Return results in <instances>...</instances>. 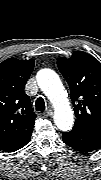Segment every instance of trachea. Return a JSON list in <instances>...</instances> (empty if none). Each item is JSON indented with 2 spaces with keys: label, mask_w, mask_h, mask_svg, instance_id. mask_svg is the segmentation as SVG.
<instances>
[{
  "label": "trachea",
  "mask_w": 101,
  "mask_h": 180,
  "mask_svg": "<svg viewBox=\"0 0 101 180\" xmlns=\"http://www.w3.org/2000/svg\"><path fill=\"white\" fill-rule=\"evenodd\" d=\"M36 111H44L45 110V102L42 97H39L35 102Z\"/></svg>",
  "instance_id": "3493384b"
}]
</instances>
